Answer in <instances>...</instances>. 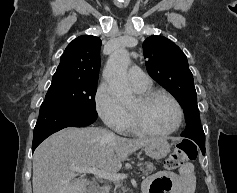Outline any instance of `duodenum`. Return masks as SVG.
<instances>
[{"label":"duodenum","mask_w":237,"mask_h":193,"mask_svg":"<svg viewBox=\"0 0 237 193\" xmlns=\"http://www.w3.org/2000/svg\"><path fill=\"white\" fill-rule=\"evenodd\" d=\"M89 193H93V191H89Z\"/></svg>","instance_id":"1"}]
</instances>
